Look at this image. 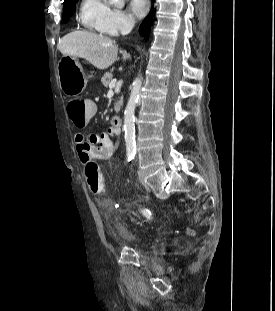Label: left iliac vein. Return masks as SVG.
<instances>
[{
    "mask_svg": "<svg viewBox=\"0 0 275 311\" xmlns=\"http://www.w3.org/2000/svg\"><path fill=\"white\" fill-rule=\"evenodd\" d=\"M138 177H139L140 182H141L143 185H145L144 178H143V176H142L139 172H138Z\"/></svg>",
    "mask_w": 275,
    "mask_h": 311,
    "instance_id": "4c4485c4",
    "label": "left iliac vein"
}]
</instances>
